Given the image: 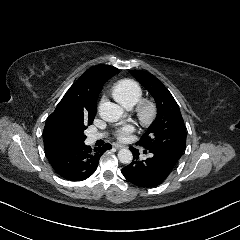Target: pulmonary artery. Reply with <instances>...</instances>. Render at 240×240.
I'll use <instances>...</instances> for the list:
<instances>
[{"mask_svg": "<svg viewBox=\"0 0 240 240\" xmlns=\"http://www.w3.org/2000/svg\"><path fill=\"white\" fill-rule=\"evenodd\" d=\"M102 136L100 134H90L87 136V143L88 144H93L97 140H99Z\"/></svg>", "mask_w": 240, "mask_h": 240, "instance_id": "1", "label": "pulmonary artery"}]
</instances>
